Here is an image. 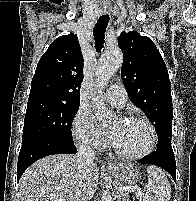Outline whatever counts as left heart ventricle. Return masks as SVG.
I'll return each mask as SVG.
<instances>
[{"instance_id": "1", "label": "left heart ventricle", "mask_w": 196, "mask_h": 201, "mask_svg": "<svg viewBox=\"0 0 196 201\" xmlns=\"http://www.w3.org/2000/svg\"><path fill=\"white\" fill-rule=\"evenodd\" d=\"M111 133L119 148L130 154L144 151L150 141L147 126L139 121L115 120L111 124Z\"/></svg>"}]
</instances>
